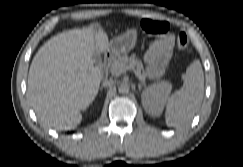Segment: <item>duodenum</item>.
<instances>
[{
  "mask_svg": "<svg viewBox=\"0 0 243 167\" xmlns=\"http://www.w3.org/2000/svg\"><path fill=\"white\" fill-rule=\"evenodd\" d=\"M112 59H113V53L107 52L105 57H104V64L101 67V71H102L103 74L105 73V69H106L107 65L111 62Z\"/></svg>",
  "mask_w": 243,
  "mask_h": 167,
  "instance_id": "obj_1",
  "label": "duodenum"
}]
</instances>
